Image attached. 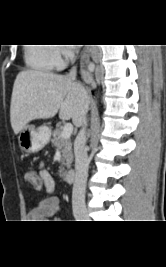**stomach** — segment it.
Segmentation results:
<instances>
[{"label": "stomach", "mask_w": 166, "mask_h": 267, "mask_svg": "<svg viewBox=\"0 0 166 267\" xmlns=\"http://www.w3.org/2000/svg\"><path fill=\"white\" fill-rule=\"evenodd\" d=\"M51 130L43 125L38 128L27 125L18 136L19 146L25 153H36L42 150L50 141Z\"/></svg>", "instance_id": "1"}]
</instances>
